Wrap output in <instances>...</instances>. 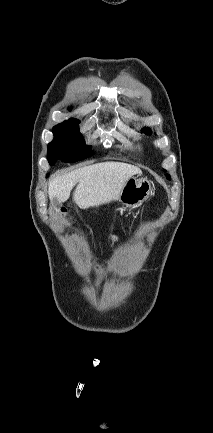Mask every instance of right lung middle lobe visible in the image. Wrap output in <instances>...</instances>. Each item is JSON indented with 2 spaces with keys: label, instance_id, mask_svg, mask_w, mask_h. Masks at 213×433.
Instances as JSON below:
<instances>
[{
  "label": "right lung middle lobe",
  "instance_id": "1",
  "mask_svg": "<svg viewBox=\"0 0 213 433\" xmlns=\"http://www.w3.org/2000/svg\"><path fill=\"white\" fill-rule=\"evenodd\" d=\"M80 121L66 120L53 127L54 139L48 144V162L54 165L56 160L76 162L90 157L93 152L91 146H86L79 132Z\"/></svg>",
  "mask_w": 213,
  "mask_h": 433
}]
</instances>
